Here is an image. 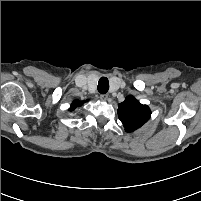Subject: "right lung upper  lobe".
Listing matches in <instances>:
<instances>
[{"mask_svg": "<svg viewBox=\"0 0 201 201\" xmlns=\"http://www.w3.org/2000/svg\"><path fill=\"white\" fill-rule=\"evenodd\" d=\"M84 102H86V101H79V100L73 101V103L71 104L69 110L70 111L75 110L77 107L82 106L84 104Z\"/></svg>", "mask_w": 201, "mask_h": 201, "instance_id": "obj_1", "label": "right lung upper lobe"}]
</instances>
